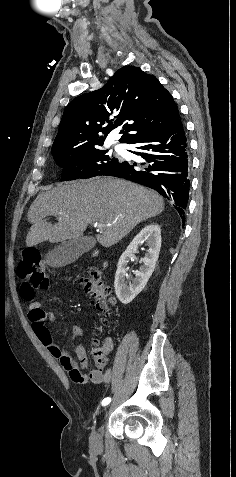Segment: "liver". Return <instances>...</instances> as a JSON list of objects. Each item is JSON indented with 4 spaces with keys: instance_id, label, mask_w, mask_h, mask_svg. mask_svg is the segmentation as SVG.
<instances>
[{
    "instance_id": "obj_1",
    "label": "liver",
    "mask_w": 236,
    "mask_h": 477,
    "mask_svg": "<svg viewBox=\"0 0 236 477\" xmlns=\"http://www.w3.org/2000/svg\"><path fill=\"white\" fill-rule=\"evenodd\" d=\"M163 209V198L156 192L122 179L97 177L58 185L40 193L30 206L26 245L76 239L89 224L98 223L103 227L96 239L108 248ZM51 215L58 220L54 225L45 219Z\"/></svg>"
}]
</instances>
